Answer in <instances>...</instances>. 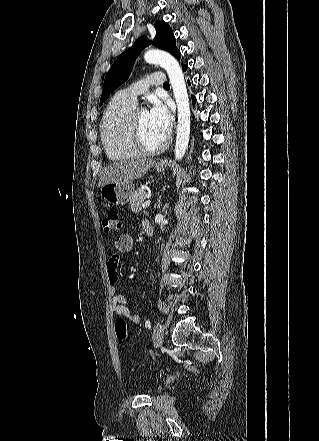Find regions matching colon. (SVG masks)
I'll return each instance as SVG.
<instances>
[{
    "mask_svg": "<svg viewBox=\"0 0 319 441\" xmlns=\"http://www.w3.org/2000/svg\"><path fill=\"white\" fill-rule=\"evenodd\" d=\"M102 227L105 233H118L121 230L119 213L115 209H110L103 218ZM115 333L119 340H124L127 335L126 323L123 319L115 322Z\"/></svg>",
    "mask_w": 319,
    "mask_h": 441,
    "instance_id": "1",
    "label": "colon"
}]
</instances>
